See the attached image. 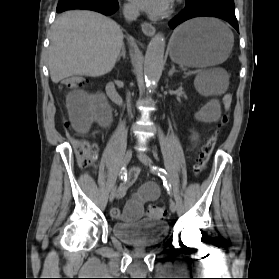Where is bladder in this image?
<instances>
[{
    "label": "bladder",
    "mask_w": 279,
    "mask_h": 279,
    "mask_svg": "<svg viewBox=\"0 0 279 279\" xmlns=\"http://www.w3.org/2000/svg\"><path fill=\"white\" fill-rule=\"evenodd\" d=\"M113 234L123 243L136 247L160 244L168 233V225L157 219L144 218L133 223L115 222Z\"/></svg>",
    "instance_id": "obj_1"
}]
</instances>
